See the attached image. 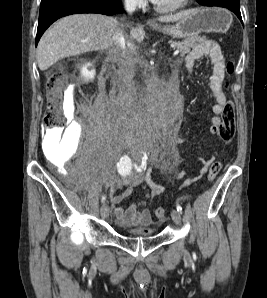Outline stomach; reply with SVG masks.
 <instances>
[{"label": "stomach", "mask_w": 267, "mask_h": 298, "mask_svg": "<svg viewBox=\"0 0 267 298\" xmlns=\"http://www.w3.org/2000/svg\"><path fill=\"white\" fill-rule=\"evenodd\" d=\"M186 12L174 25L154 28L174 38H188L201 32L226 33L233 19L228 10L219 7L196 8Z\"/></svg>", "instance_id": "1"}]
</instances>
